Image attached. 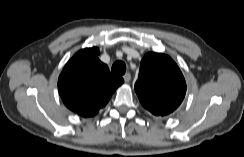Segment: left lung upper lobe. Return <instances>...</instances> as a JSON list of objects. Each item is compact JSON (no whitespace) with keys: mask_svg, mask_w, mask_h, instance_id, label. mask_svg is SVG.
I'll return each instance as SVG.
<instances>
[{"mask_svg":"<svg viewBox=\"0 0 244 157\" xmlns=\"http://www.w3.org/2000/svg\"><path fill=\"white\" fill-rule=\"evenodd\" d=\"M135 91L147 110L154 115L165 116L183 101L186 82L179 67L169 56L149 52L141 60Z\"/></svg>","mask_w":244,"mask_h":157,"instance_id":"obj_1","label":"left lung upper lobe"}]
</instances>
